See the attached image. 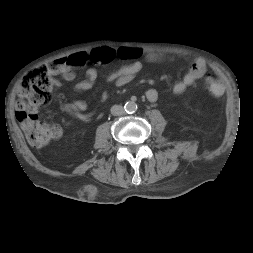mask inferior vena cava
Instances as JSON below:
<instances>
[{
  "mask_svg": "<svg viewBox=\"0 0 253 253\" xmlns=\"http://www.w3.org/2000/svg\"><path fill=\"white\" fill-rule=\"evenodd\" d=\"M125 113L124 108L121 105H114L111 107V114L114 116H120Z\"/></svg>",
  "mask_w": 253,
  "mask_h": 253,
  "instance_id": "obj_1",
  "label": "inferior vena cava"
}]
</instances>
